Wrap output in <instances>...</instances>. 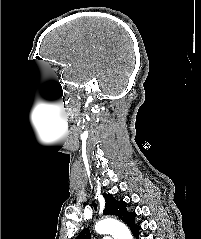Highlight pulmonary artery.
Instances as JSON below:
<instances>
[{"instance_id": "pulmonary-artery-1", "label": "pulmonary artery", "mask_w": 201, "mask_h": 239, "mask_svg": "<svg viewBox=\"0 0 201 239\" xmlns=\"http://www.w3.org/2000/svg\"><path fill=\"white\" fill-rule=\"evenodd\" d=\"M100 239H112L111 236H102Z\"/></svg>"}]
</instances>
